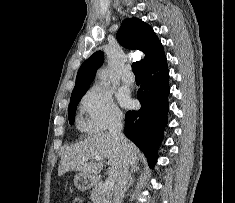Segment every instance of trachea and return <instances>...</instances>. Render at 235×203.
Segmentation results:
<instances>
[{"mask_svg":"<svg viewBox=\"0 0 235 203\" xmlns=\"http://www.w3.org/2000/svg\"><path fill=\"white\" fill-rule=\"evenodd\" d=\"M132 70L135 76H140V64L139 62H134L132 64Z\"/></svg>","mask_w":235,"mask_h":203,"instance_id":"3493384b","label":"trachea"}]
</instances>
